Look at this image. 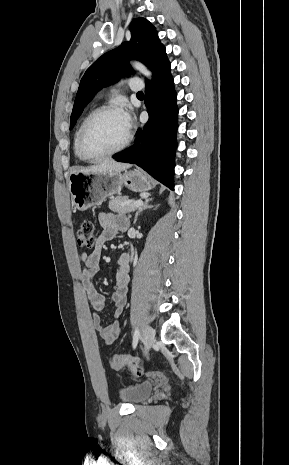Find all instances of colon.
Masks as SVG:
<instances>
[{
    "mask_svg": "<svg viewBox=\"0 0 289 465\" xmlns=\"http://www.w3.org/2000/svg\"><path fill=\"white\" fill-rule=\"evenodd\" d=\"M77 242L79 246L87 248H91L96 244L95 228L91 220H84L80 224L77 231ZM110 366L116 370H120L125 366H128L130 372H133L138 376L142 374L138 360H132L127 363L126 358L123 356H112L110 359Z\"/></svg>",
    "mask_w": 289,
    "mask_h": 465,
    "instance_id": "5ec220e1",
    "label": "colon"
}]
</instances>
